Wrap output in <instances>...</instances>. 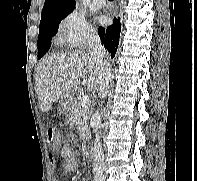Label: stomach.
Listing matches in <instances>:
<instances>
[{
	"instance_id": "stomach-1",
	"label": "stomach",
	"mask_w": 197,
	"mask_h": 181,
	"mask_svg": "<svg viewBox=\"0 0 197 181\" xmlns=\"http://www.w3.org/2000/svg\"><path fill=\"white\" fill-rule=\"evenodd\" d=\"M71 108H72V99L70 97L61 99L59 106H58V111L61 114L69 113Z\"/></svg>"
}]
</instances>
